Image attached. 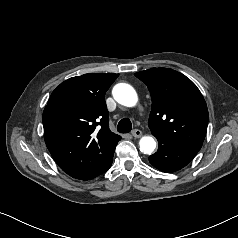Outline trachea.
Wrapping results in <instances>:
<instances>
[{
    "mask_svg": "<svg viewBox=\"0 0 238 238\" xmlns=\"http://www.w3.org/2000/svg\"><path fill=\"white\" fill-rule=\"evenodd\" d=\"M132 129V123L128 118L122 119L117 125V131L120 133H129Z\"/></svg>",
    "mask_w": 238,
    "mask_h": 238,
    "instance_id": "3493384b",
    "label": "trachea"
}]
</instances>
